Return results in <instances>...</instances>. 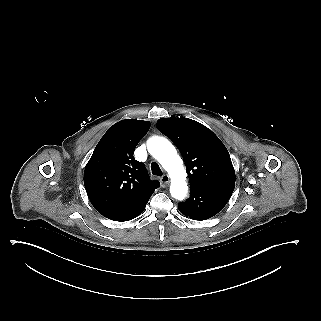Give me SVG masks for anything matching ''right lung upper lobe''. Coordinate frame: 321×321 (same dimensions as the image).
<instances>
[{"mask_svg":"<svg viewBox=\"0 0 321 321\" xmlns=\"http://www.w3.org/2000/svg\"><path fill=\"white\" fill-rule=\"evenodd\" d=\"M147 121L122 120L103 135L84 171V185L94 208L115 219L149 200L159 187L143 163L134 159L138 142L147 133Z\"/></svg>","mask_w":321,"mask_h":321,"instance_id":"1","label":"right lung upper lobe"}]
</instances>
